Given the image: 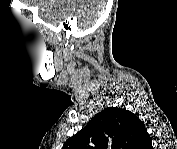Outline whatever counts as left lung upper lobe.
<instances>
[{"instance_id": "left-lung-upper-lobe-1", "label": "left lung upper lobe", "mask_w": 177, "mask_h": 149, "mask_svg": "<svg viewBox=\"0 0 177 149\" xmlns=\"http://www.w3.org/2000/svg\"><path fill=\"white\" fill-rule=\"evenodd\" d=\"M147 131L134 113L109 107L97 113L62 149H143Z\"/></svg>"}]
</instances>
